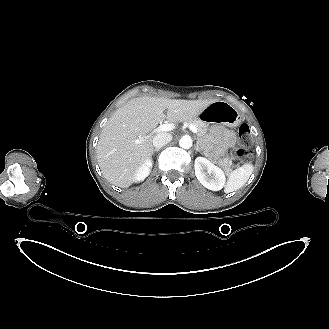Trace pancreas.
Instances as JSON below:
<instances>
[{"instance_id":"pancreas-1","label":"pancreas","mask_w":329,"mask_h":329,"mask_svg":"<svg viewBox=\"0 0 329 329\" xmlns=\"http://www.w3.org/2000/svg\"><path fill=\"white\" fill-rule=\"evenodd\" d=\"M185 122L196 126V128L198 129V135L200 136L198 144H200L201 147H205V138L208 131V125L205 122L196 119L186 120ZM206 155L213 163L222 166L225 171L228 172L231 170L232 160L229 157L220 159L216 155H210L209 153H206Z\"/></svg>"}]
</instances>
